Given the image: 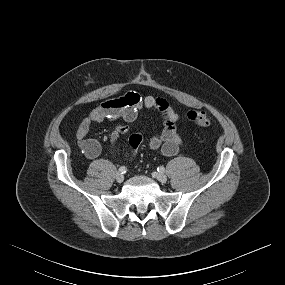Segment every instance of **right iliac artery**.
Masks as SVG:
<instances>
[{
    "instance_id": "1",
    "label": "right iliac artery",
    "mask_w": 285,
    "mask_h": 285,
    "mask_svg": "<svg viewBox=\"0 0 285 285\" xmlns=\"http://www.w3.org/2000/svg\"><path fill=\"white\" fill-rule=\"evenodd\" d=\"M126 171H127V168H126L125 166H121V167L119 168V172H120L121 174L126 173Z\"/></svg>"
}]
</instances>
